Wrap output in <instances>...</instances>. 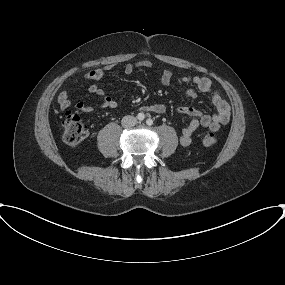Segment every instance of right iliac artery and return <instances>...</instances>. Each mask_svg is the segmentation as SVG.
<instances>
[{"mask_svg": "<svg viewBox=\"0 0 285 285\" xmlns=\"http://www.w3.org/2000/svg\"><path fill=\"white\" fill-rule=\"evenodd\" d=\"M137 119L140 120V121H142V120L145 119V115H144L143 113H139V114L137 115Z\"/></svg>", "mask_w": 285, "mask_h": 285, "instance_id": "obj_1", "label": "right iliac artery"}]
</instances>
